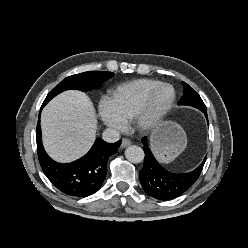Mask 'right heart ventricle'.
<instances>
[{
    "instance_id": "obj_1",
    "label": "right heart ventricle",
    "mask_w": 248,
    "mask_h": 248,
    "mask_svg": "<svg viewBox=\"0 0 248 248\" xmlns=\"http://www.w3.org/2000/svg\"><path fill=\"white\" fill-rule=\"evenodd\" d=\"M159 83L160 81L154 79H136L120 84L111 90L112 104L125 124L133 121L135 113L149 92Z\"/></svg>"
}]
</instances>
